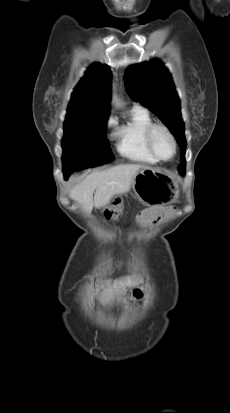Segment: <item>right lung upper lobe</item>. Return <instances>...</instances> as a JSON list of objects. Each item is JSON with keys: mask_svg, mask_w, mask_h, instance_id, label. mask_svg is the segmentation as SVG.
<instances>
[{"mask_svg": "<svg viewBox=\"0 0 230 413\" xmlns=\"http://www.w3.org/2000/svg\"><path fill=\"white\" fill-rule=\"evenodd\" d=\"M111 78L109 66L92 64L72 93L64 124L84 123L107 117Z\"/></svg>", "mask_w": 230, "mask_h": 413, "instance_id": "obj_1", "label": "right lung upper lobe"}]
</instances>
